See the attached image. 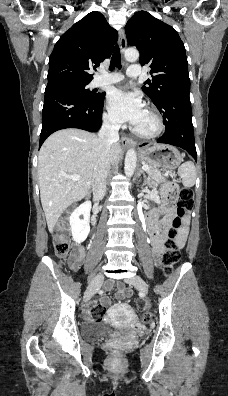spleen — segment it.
Masks as SVG:
<instances>
[{
	"label": "spleen",
	"instance_id": "spleen-1",
	"mask_svg": "<svg viewBox=\"0 0 228 396\" xmlns=\"http://www.w3.org/2000/svg\"><path fill=\"white\" fill-rule=\"evenodd\" d=\"M178 174L185 187L190 188L194 186L197 174L195 166L191 161L183 163L178 169Z\"/></svg>",
	"mask_w": 228,
	"mask_h": 396
}]
</instances>
